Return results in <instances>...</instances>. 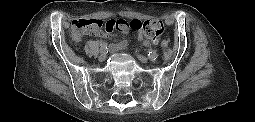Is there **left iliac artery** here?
<instances>
[{
  "instance_id": "left-iliac-artery-1",
  "label": "left iliac artery",
  "mask_w": 255,
  "mask_h": 122,
  "mask_svg": "<svg viewBox=\"0 0 255 122\" xmlns=\"http://www.w3.org/2000/svg\"><path fill=\"white\" fill-rule=\"evenodd\" d=\"M147 55L152 61H155L158 57V54L155 51H149Z\"/></svg>"
}]
</instances>
